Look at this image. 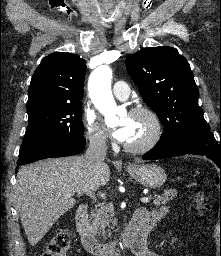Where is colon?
I'll return each mask as SVG.
<instances>
[{"label":"colon","instance_id":"obj_1","mask_svg":"<svg viewBox=\"0 0 221 256\" xmlns=\"http://www.w3.org/2000/svg\"><path fill=\"white\" fill-rule=\"evenodd\" d=\"M197 207L204 208L203 197L198 194L196 197ZM71 246V234L68 230H59L49 242L46 243L44 248L35 256H67Z\"/></svg>","mask_w":221,"mask_h":256}]
</instances>
